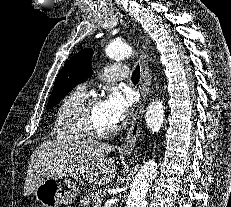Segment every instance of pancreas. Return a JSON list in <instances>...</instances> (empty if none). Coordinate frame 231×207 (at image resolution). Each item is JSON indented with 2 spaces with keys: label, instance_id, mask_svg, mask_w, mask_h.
<instances>
[{
  "label": "pancreas",
  "instance_id": "obj_1",
  "mask_svg": "<svg viewBox=\"0 0 231 207\" xmlns=\"http://www.w3.org/2000/svg\"><path fill=\"white\" fill-rule=\"evenodd\" d=\"M103 200V192L101 190L95 191V192H90L87 194L86 197L80 200L79 206L80 207H90L91 205L93 207L95 203H100L102 204Z\"/></svg>",
  "mask_w": 231,
  "mask_h": 207
}]
</instances>
